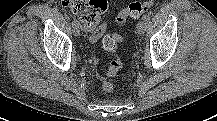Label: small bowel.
Segmentation results:
<instances>
[{
	"label": "small bowel",
	"instance_id": "small-bowel-1",
	"mask_svg": "<svg viewBox=\"0 0 217 121\" xmlns=\"http://www.w3.org/2000/svg\"><path fill=\"white\" fill-rule=\"evenodd\" d=\"M102 26H103V31L101 33L96 34L92 31V35L90 36L91 42H95L96 40H98L102 36V34L104 33V31L106 29V24L104 23V24H102Z\"/></svg>",
	"mask_w": 217,
	"mask_h": 121
}]
</instances>
